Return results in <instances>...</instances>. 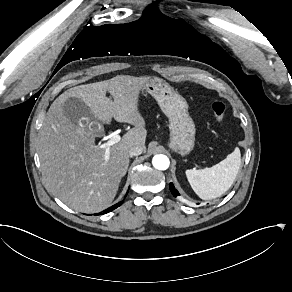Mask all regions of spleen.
Here are the masks:
<instances>
[{"label": "spleen", "instance_id": "3e777b00", "mask_svg": "<svg viewBox=\"0 0 292 292\" xmlns=\"http://www.w3.org/2000/svg\"><path fill=\"white\" fill-rule=\"evenodd\" d=\"M240 151L235 148L220 163L203 169H187V180L201 199H212L222 195L234 183L240 168Z\"/></svg>", "mask_w": 292, "mask_h": 292}]
</instances>
